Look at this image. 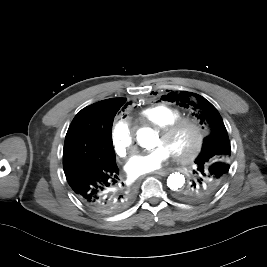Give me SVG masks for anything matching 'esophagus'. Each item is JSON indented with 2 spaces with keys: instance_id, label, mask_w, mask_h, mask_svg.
I'll return each mask as SVG.
<instances>
[{
  "instance_id": "1",
  "label": "esophagus",
  "mask_w": 267,
  "mask_h": 267,
  "mask_svg": "<svg viewBox=\"0 0 267 267\" xmlns=\"http://www.w3.org/2000/svg\"><path fill=\"white\" fill-rule=\"evenodd\" d=\"M168 171H165V170H160V171H155L153 172V174H158V175H161V176H166L168 175Z\"/></svg>"
}]
</instances>
